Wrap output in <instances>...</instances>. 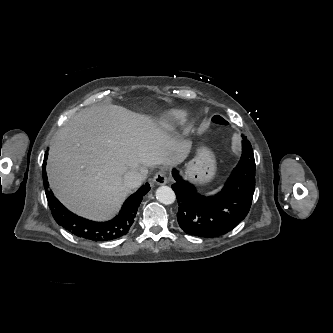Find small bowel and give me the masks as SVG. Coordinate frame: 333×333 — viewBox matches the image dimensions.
<instances>
[{"instance_id": "1", "label": "small bowel", "mask_w": 333, "mask_h": 333, "mask_svg": "<svg viewBox=\"0 0 333 333\" xmlns=\"http://www.w3.org/2000/svg\"><path fill=\"white\" fill-rule=\"evenodd\" d=\"M231 144H232V152L234 155L239 156L243 152V147H242V139L240 136L235 135L231 139Z\"/></svg>"}]
</instances>
